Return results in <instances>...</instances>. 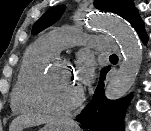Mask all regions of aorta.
Returning a JSON list of instances; mask_svg holds the SVG:
<instances>
[{
  "label": "aorta",
  "instance_id": "1",
  "mask_svg": "<svg viewBox=\"0 0 151 131\" xmlns=\"http://www.w3.org/2000/svg\"><path fill=\"white\" fill-rule=\"evenodd\" d=\"M90 24L112 34L120 45L123 62L105 90V96L108 99H119L132 87L139 73L142 62V48L139 40L132 27L115 15L94 16Z\"/></svg>",
  "mask_w": 151,
  "mask_h": 131
}]
</instances>
